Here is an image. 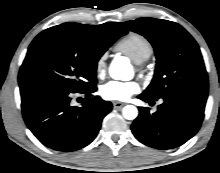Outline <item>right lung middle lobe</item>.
Instances as JSON below:
<instances>
[{"label": "right lung middle lobe", "mask_w": 220, "mask_h": 173, "mask_svg": "<svg viewBox=\"0 0 220 173\" xmlns=\"http://www.w3.org/2000/svg\"><path fill=\"white\" fill-rule=\"evenodd\" d=\"M100 57L91 40L80 34H46L33 40L21 66L19 80L24 84L83 91L96 86Z\"/></svg>", "instance_id": "dd1d6c3e"}]
</instances>
